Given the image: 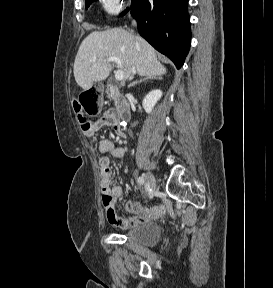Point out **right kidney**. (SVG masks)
Segmentation results:
<instances>
[{"instance_id": "ca27d5eb", "label": "right kidney", "mask_w": 273, "mask_h": 288, "mask_svg": "<svg viewBox=\"0 0 273 288\" xmlns=\"http://www.w3.org/2000/svg\"><path fill=\"white\" fill-rule=\"evenodd\" d=\"M163 93L160 89H155L149 92L143 99L142 105L146 113L150 114L157 103L162 97Z\"/></svg>"}]
</instances>
